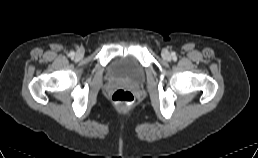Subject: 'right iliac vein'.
<instances>
[{"mask_svg": "<svg viewBox=\"0 0 258 158\" xmlns=\"http://www.w3.org/2000/svg\"><path fill=\"white\" fill-rule=\"evenodd\" d=\"M82 56H83V52L82 51H77V53H76V58H78V59H80V58H82Z\"/></svg>", "mask_w": 258, "mask_h": 158, "instance_id": "63e3f726", "label": "right iliac vein"}]
</instances>
